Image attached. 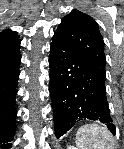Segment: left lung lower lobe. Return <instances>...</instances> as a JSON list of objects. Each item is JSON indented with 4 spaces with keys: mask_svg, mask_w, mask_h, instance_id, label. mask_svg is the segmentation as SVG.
Here are the masks:
<instances>
[{
    "mask_svg": "<svg viewBox=\"0 0 124 149\" xmlns=\"http://www.w3.org/2000/svg\"><path fill=\"white\" fill-rule=\"evenodd\" d=\"M49 66V92L57 138L84 119L104 123L115 135L116 127L106 97L105 74L56 32L50 45Z\"/></svg>",
    "mask_w": 124,
    "mask_h": 149,
    "instance_id": "1",
    "label": "left lung lower lobe"
}]
</instances>
